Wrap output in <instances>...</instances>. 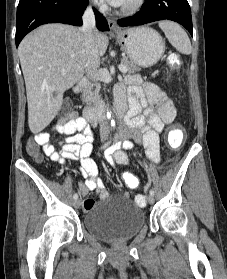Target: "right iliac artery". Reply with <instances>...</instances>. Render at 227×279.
<instances>
[{
  "mask_svg": "<svg viewBox=\"0 0 227 279\" xmlns=\"http://www.w3.org/2000/svg\"><path fill=\"white\" fill-rule=\"evenodd\" d=\"M108 144H109V142L106 143V144H104V145L101 147V149H104ZM73 198H74V200H77V199H78V194L75 193V194L73 195Z\"/></svg>",
  "mask_w": 227,
  "mask_h": 279,
  "instance_id": "obj_1",
  "label": "right iliac artery"
}]
</instances>
